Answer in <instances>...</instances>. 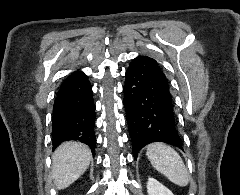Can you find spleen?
Here are the masks:
<instances>
[{"instance_id":"obj_1","label":"spleen","mask_w":240,"mask_h":195,"mask_svg":"<svg viewBox=\"0 0 240 195\" xmlns=\"http://www.w3.org/2000/svg\"><path fill=\"white\" fill-rule=\"evenodd\" d=\"M146 147V155L157 171L164 173L170 181L182 185V187L189 183L190 175L178 151H175L170 145L162 143V141L149 143Z\"/></svg>"}]
</instances>
